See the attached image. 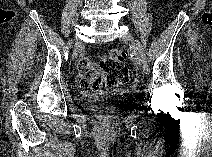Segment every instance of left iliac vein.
Segmentation results:
<instances>
[{
  "label": "left iliac vein",
  "mask_w": 212,
  "mask_h": 157,
  "mask_svg": "<svg viewBox=\"0 0 212 157\" xmlns=\"http://www.w3.org/2000/svg\"><path fill=\"white\" fill-rule=\"evenodd\" d=\"M121 40L129 43L130 46L134 47V57L137 65L142 69V71L145 73L143 63H142V58L139 54V52L135 49V40L132 34L126 33L125 35L121 36ZM146 74V73H145Z\"/></svg>",
  "instance_id": "4c4485c4"
}]
</instances>
